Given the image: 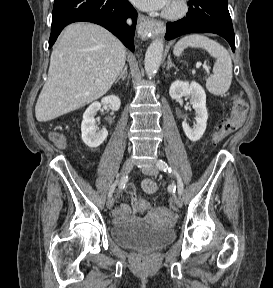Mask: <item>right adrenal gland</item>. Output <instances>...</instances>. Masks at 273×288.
<instances>
[{
  "label": "right adrenal gland",
  "instance_id": "1",
  "mask_svg": "<svg viewBox=\"0 0 273 288\" xmlns=\"http://www.w3.org/2000/svg\"><path fill=\"white\" fill-rule=\"evenodd\" d=\"M127 65L124 66L123 70L121 71L119 77L116 79L115 83L119 82L120 79L125 80L127 76Z\"/></svg>",
  "mask_w": 273,
  "mask_h": 288
}]
</instances>
